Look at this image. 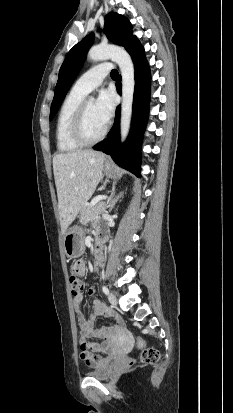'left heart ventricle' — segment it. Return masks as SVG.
Segmentation results:
<instances>
[{
	"label": "left heart ventricle",
	"instance_id": "1",
	"mask_svg": "<svg viewBox=\"0 0 233 413\" xmlns=\"http://www.w3.org/2000/svg\"><path fill=\"white\" fill-rule=\"evenodd\" d=\"M106 126L100 119L95 108V102L88 101L85 118V133L89 138L97 137Z\"/></svg>",
	"mask_w": 233,
	"mask_h": 413
}]
</instances>
